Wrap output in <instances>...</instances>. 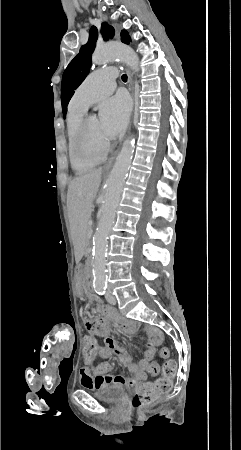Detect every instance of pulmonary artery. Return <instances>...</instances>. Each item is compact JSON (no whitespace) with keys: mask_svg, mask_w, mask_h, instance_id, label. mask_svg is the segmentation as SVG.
Returning <instances> with one entry per match:
<instances>
[{"mask_svg":"<svg viewBox=\"0 0 241 450\" xmlns=\"http://www.w3.org/2000/svg\"><path fill=\"white\" fill-rule=\"evenodd\" d=\"M117 71L112 64H105L103 69H93L83 84L76 90L73 102L88 107L110 96L116 85Z\"/></svg>","mask_w":241,"mask_h":450,"instance_id":"obj_1","label":"pulmonary artery"}]
</instances>
